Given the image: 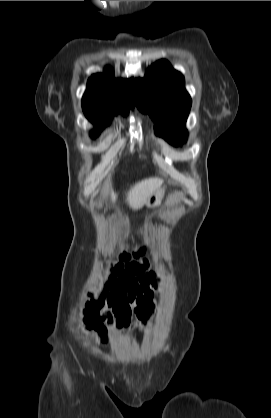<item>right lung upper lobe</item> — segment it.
<instances>
[{"mask_svg":"<svg viewBox=\"0 0 271 418\" xmlns=\"http://www.w3.org/2000/svg\"><path fill=\"white\" fill-rule=\"evenodd\" d=\"M136 89L133 79H115L110 70L95 74L88 80L87 90L82 98L86 113L112 117L117 112L128 113L135 106Z\"/></svg>","mask_w":271,"mask_h":418,"instance_id":"right-lung-upper-lobe-1","label":"right lung upper lobe"}]
</instances>
